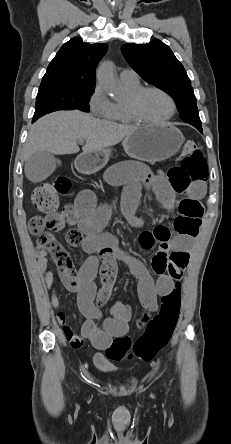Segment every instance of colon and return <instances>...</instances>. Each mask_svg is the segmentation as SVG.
Masks as SVG:
<instances>
[{
  "label": "colon",
  "instance_id": "1",
  "mask_svg": "<svg viewBox=\"0 0 231 444\" xmlns=\"http://www.w3.org/2000/svg\"><path fill=\"white\" fill-rule=\"evenodd\" d=\"M207 161L201 149L191 141L185 143L180 164L170 169V181L181 188L194 182L208 179ZM70 189L66 178L59 177L37 186L31 195L32 204L43 215L30 219L28 229L38 236V246L48 254L56 264L65 285L74 290L77 288V275L69 253L59 244L50 232L59 231L71 225L72 214L68 209L58 210V196ZM179 216L174 221L177 234L194 237L200 227L202 206L193 200L184 199L179 205ZM158 235L168 236V228H155ZM181 285L176 283L174 289L162 297L161 309L150 316L145 313L138 321V326L146 325L145 331L135 340L128 335L116 337L106 350V357L113 361L129 360L136 357L149 362L169 343L175 330L180 309Z\"/></svg>",
  "mask_w": 231,
  "mask_h": 444
}]
</instances>
